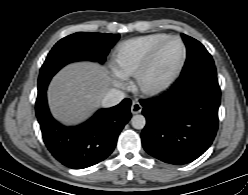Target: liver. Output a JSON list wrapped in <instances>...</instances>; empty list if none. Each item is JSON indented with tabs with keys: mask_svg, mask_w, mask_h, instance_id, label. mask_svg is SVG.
Segmentation results:
<instances>
[{
	"mask_svg": "<svg viewBox=\"0 0 248 195\" xmlns=\"http://www.w3.org/2000/svg\"><path fill=\"white\" fill-rule=\"evenodd\" d=\"M112 85L107 67L93 62L72 63L60 70L48 89L53 116L64 124L86 120Z\"/></svg>",
	"mask_w": 248,
	"mask_h": 195,
	"instance_id": "liver-1",
	"label": "liver"
}]
</instances>
